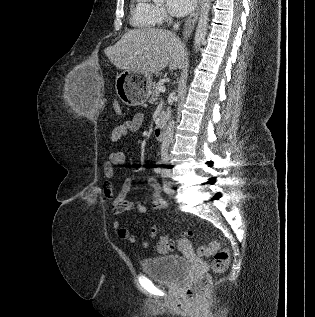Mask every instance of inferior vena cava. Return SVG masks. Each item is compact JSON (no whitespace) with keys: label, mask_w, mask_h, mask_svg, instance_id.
<instances>
[{"label":"inferior vena cava","mask_w":315,"mask_h":317,"mask_svg":"<svg viewBox=\"0 0 315 317\" xmlns=\"http://www.w3.org/2000/svg\"><path fill=\"white\" fill-rule=\"evenodd\" d=\"M174 29H179V23H175ZM173 133H174V121H169L168 127L165 131L164 138L162 140L161 144V159L162 161L168 160V149L169 145L172 142L173 139Z\"/></svg>","instance_id":"602c4592"}]
</instances>
